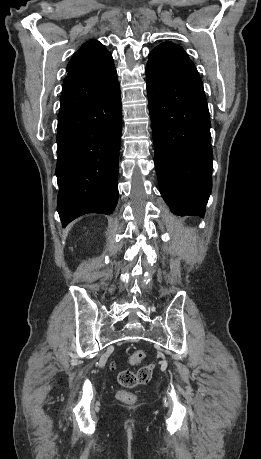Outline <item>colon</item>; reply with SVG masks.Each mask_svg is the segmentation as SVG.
Segmentation results:
<instances>
[{"label":"colon","instance_id":"obj_1","mask_svg":"<svg viewBox=\"0 0 261 459\" xmlns=\"http://www.w3.org/2000/svg\"><path fill=\"white\" fill-rule=\"evenodd\" d=\"M145 354L141 350L134 351L129 361L133 365H137L144 359ZM154 365L150 364L139 368L137 371L122 370L117 374L118 383L124 388H133L137 385L146 384L152 377ZM120 400L130 402L133 400V395L127 391L121 390L118 392Z\"/></svg>","mask_w":261,"mask_h":459}]
</instances>
